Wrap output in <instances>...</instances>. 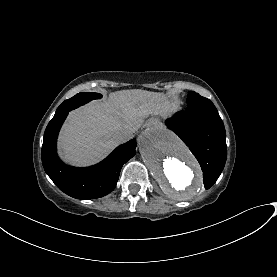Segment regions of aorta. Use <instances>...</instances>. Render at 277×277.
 <instances>
[{
	"mask_svg": "<svg viewBox=\"0 0 277 277\" xmlns=\"http://www.w3.org/2000/svg\"><path fill=\"white\" fill-rule=\"evenodd\" d=\"M138 147L143 161L169 197L186 201L200 193L201 168L175 134L165 128H150L139 136Z\"/></svg>",
	"mask_w": 277,
	"mask_h": 277,
	"instance_id": "762f6f07",
	"label": "aorta"
}]
</instances>
